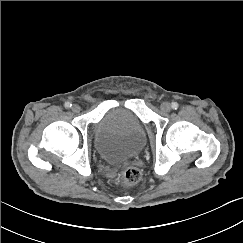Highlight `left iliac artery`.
<instances>
[{"label": "left iliac artery", "mask_w": 243, "mask_h": 243, "mask_svg": "<svg viewBox=\"0 0 243 243\" xmlns=\"http://www.w3.org/2000/svg\"><path fill=\"white\" fill-rule=\"evenodd\" d=\"M178 103L177 102H172V104H171V107H172V109H177L178 108Z\"/></svg>", "instance_id": "44dca946"}]
</instances>
